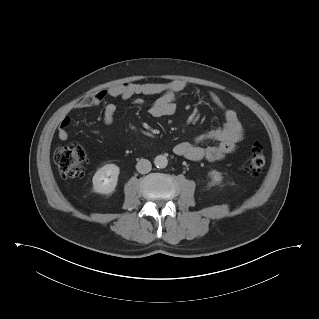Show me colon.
<instances>
[{
  "instance_id": "colon-1",
  "label": "colon",
  "mask_w": 319,
  "mask_h": 319,
  "mask_svg": "<svg viewBox=\"0 0 319 319\" xmlns=\"http://www.w3.org/2000/svg\"><path fill=\"white\" fill-rule=\"evenodd\" d=\"M85 157L84 150L74 144L62 145L56 149L54 154L60 174L67 179H74L82 175ZM265 164L266 158L262 147L254 144L251 148L248 170L253 173H261Z\"/></svg>"
}]
</instances>
